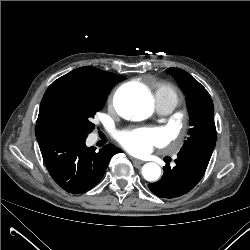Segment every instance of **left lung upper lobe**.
<instances>
[{
    "mask_svg": "<svg viewBox=\"0 0 250 250\" xmlns=\"http://www.w3.org/2000/svg\"><path fill=\"white\" fill-rule=\"evenodd\" d=\"M183 93L186 95L187 108L190 116L191 129L189 137L182 148L192 144L217 140L213 118L214 106L207 90L191 75L179 68H169Z\"/></svg>",
    "mask_w": 250,
    "mask_h": 250,
    "instance_id": "1",
    "label": "left lung upper lobe"
}]
</instances>
